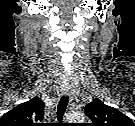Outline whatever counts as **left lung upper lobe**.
<instances>
[{"label": "left lung upper lobe", "instance_id": "left-lung-upper-lobe-1", "mask_svg": "<svg viewBox=\"0 0 135 126\" xmlns=\"http://www.w3.org/2000/svg\"><path fill=\"white\" fill-rule=\"evenodd\" d=\"M86 115L91 119V126H133L129 117L95 99L85 107Z\"/></svg>", "mask_w": 135, "mask_h": 126}]
</instances>
